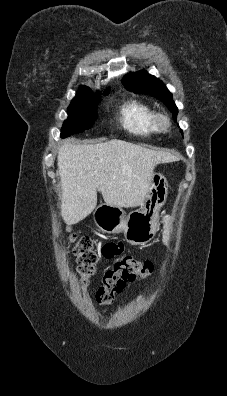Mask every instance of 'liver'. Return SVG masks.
<instances>
[{
  "instance_id": "liver-1",
  "label": "liver",
  "mask_w": 227,
  "mask_h": 396,
  "mask_svg": "<svg viewBox=\"0 0 227 396\" xmlns=\"http://www.w3.org/2000/svg\"><path fill=\"white\" fill-rule=\"evenodd\" d=\"M175 159L169 152L118 139L90 145L64 141L57 157L63 220L73 225L91 214L97 190L107 205L142 206L155 166Z\"/></svg>"
}]
</instances>
